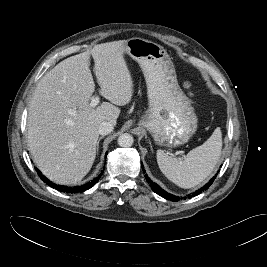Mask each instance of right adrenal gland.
<instances>
[{"instance_id":"obj_1","label":"right adrenal gland","mask_w":267,"mask_h":267,"mask_svg":"<svg viewBox=\"0 0 267 267\" xmlns=\"http://www.w3.org/2000/svg\"><path fill=\"white\" fill-rule=\"evenodd\" d=\"M103 138H104V136H101L98 139V142H97V152L99 151V143H100V140L103 139Z\"/></svg>"}]
</instances>
